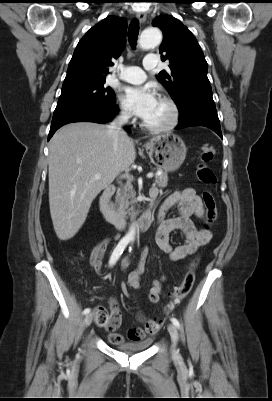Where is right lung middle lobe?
<instances>
[{
    "instance_id": "obj_1",
    "label": "right lung middle lobe",
    "mask_w": 272,
    "mask_h": 401,
    "mask_svg": "<svg viewBox=\"0 0 272 401\" xmlns=\"http://www.w3.org/2000/svg\"><path fill=\"white\" fill-rule=\"evenodd\" d=\"M105 80L62 90L53 116L69 111L95 108L108 110L115 105V93L104 86Z\"/></svg>"
}]
</instances>
